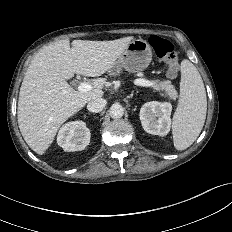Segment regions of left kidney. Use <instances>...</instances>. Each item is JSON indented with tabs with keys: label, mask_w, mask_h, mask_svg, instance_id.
Instances as JSON below:
<instances>
[{
	"label": "left kidney",
	"mask_w": 232,
	"mask_h": 232,
	"mask_svg": "<svg viewBox=\"0 0 232 232\" xmlns=\"http://www.w3.org/2000/svg\"><path fill=\"white\" fill-rule=\"evenodd\" d=\"M172 105L168 102H147L140 109L143 129L150 134L165 136L171 127Z\"/></svg>",
	"instance_id": "1"
}]
</instances>
